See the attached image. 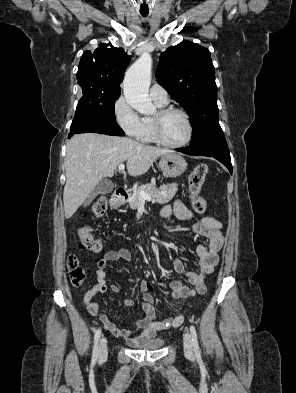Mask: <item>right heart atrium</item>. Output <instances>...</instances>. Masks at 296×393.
Instances as JSON below:
<instances>
[{
	"instance_id": "1",
	"label": "right heart atrium",
	"mask_w": 296,
	"mask_h": 393,
	"mask_svg": "<svg viewBox=\"0 0 296 393\" xmlns=\"http://www.w3.org/2000/svg\"><path fill=\"white\" fill-rule=\"evenodd\" d=\"M114 116L121 129L133 139H139L142 134V118L132 108L124 96L114 103Z\"/></svg>"
}]
</instances>
